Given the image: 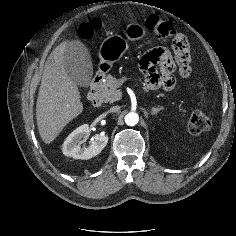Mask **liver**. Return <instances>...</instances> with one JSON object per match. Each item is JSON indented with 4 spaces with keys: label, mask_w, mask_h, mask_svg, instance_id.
Here are the masks:
<instances>
[{
    "label": "liver",
    "mask_w": 236,
    "mask_h": 236,
    "mask_svg": "<svg viewBox=\"0 0 236 236\" xmlns=\"http://www.w3.org/2000/svg\"><path fill=\"white\" fill-rule=\"evenodd\" d=\"M70 43L64 41L51 52L42 74L36 120L45 144H50L84 109L77 84L70 79L64 67L65 51Z\"/></svg>",
    "instance_id": "6515ba94"
}]
</instances>
